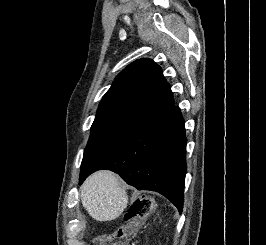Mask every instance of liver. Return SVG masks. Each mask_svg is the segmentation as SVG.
<instances>
[{
	"label": "liver",
	"mask_w": 266,
	"mask_h": 245,
	"mask_svg": "<svg viewBox=\"0 0 266 245\" xmlns=\"http://www.w3.org/2000/svg\"><path fill=\"white\" fill-rule=\"evenodd\" d=\"M81 203L95 221H114L127 207L122 183L111 171L90 175L81 187Z\"/></svg>",
	"instance_id": "1"
}]
</instances>
